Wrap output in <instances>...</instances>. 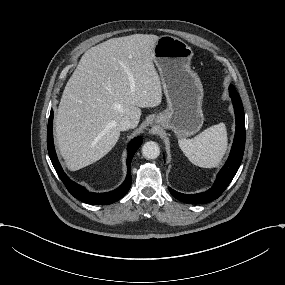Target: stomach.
Masks as SVG:
<instances>
[{"instance_id":"0dacf381","label":"stomach","mask_w":285,"mask_h":285,"mask_svg":"<svg viewBox=\"0 0 285 285\" xmlns=\"http://www.w3.org/2000/svg\"><path fill=\"white\" fill-rule=\"evenodd\" d=\"M192 49L179 38L163 35L153 49L168 107L155 117L157 131L171 129L178 138L198 132L203 124V86L191 67Z\"/></svg>"}]
</instances>
